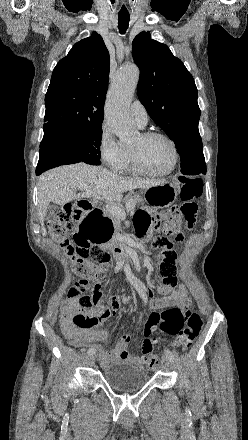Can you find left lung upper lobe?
<instances>
[{
  "mask_svg": "<svg viewBox=\"0 0 248 440\" xmlns=\"http://www.w3.org/2000/svg\"><path fill=\"white\" fill-rule=\"evenodd\" d=\"M132 55L140 69L138 97L153 121L173 139L185 175L206 173L202 140L198 130L200 109L192 75L167 45L139 33Z\"/></svg>",
  "mask_w": 248,
  "mask_h": 440,
  "instance_id": "obj_1",
  "label": "left lung upper lobe"
}]
</instances>
